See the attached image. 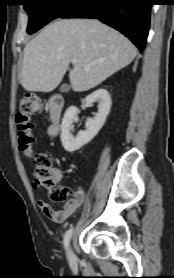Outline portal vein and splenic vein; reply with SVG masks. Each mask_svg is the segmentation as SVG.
Instances as JSON below:
<instances>
[{
  "mask_svg": "<svg viewBox=\"0 0 174 278\" xmlns=\"http://www.w3.org/2000/svg\"><path fill=\"white\" fill-rule=\"evenodd\" d=\"M72 64H73V65H75V64H76V61H75V60H72ZM84 69H85V70H88V69H89V67H88V66H86V67H84Z\"/></svg>",
  "mask_w": 174,
  "mask_h": 278,
  "instance_id": "18ae733b",
  "label": "portal vein and splenic vein"
}]
</instances>
